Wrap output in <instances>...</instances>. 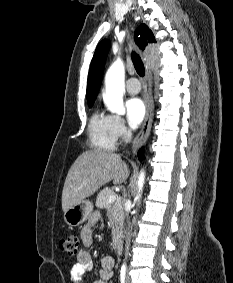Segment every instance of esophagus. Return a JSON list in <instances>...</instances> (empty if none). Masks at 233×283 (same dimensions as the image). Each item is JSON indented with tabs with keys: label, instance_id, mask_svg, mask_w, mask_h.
Masks as SVG:
<instances>
[{
	"label": "esophagus",
	"instance_id": "34e87169",
	"mask_svg": "<svg viewBox=\"0 0 233 283\" xmlns=\"http://www.w3.org/2000/svg\"><path fill=\"white\" fill-rule=\"evenodd\" d=\"M144 102L146 106V115L141 130L134 139L133 142V153L145 142L147 139L153 121V103L151 93V72L149 69L146 71L145 83H144Z\"/></svg>",
	"mask_w": 233,
	"mask_h": 283
}]
</instances>
